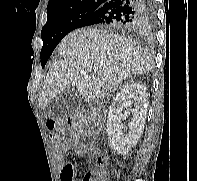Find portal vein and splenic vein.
I'll return each mask as SVG.
<instances>
[{"instance_id": "18ae733b", "label": "portal vein and splenic vein", "mask_w": 197, "mask_h": 181, "mask_svg": "<svg viewBox=\"0 0 197 181\" xmlns=\"http://www.w3.org/2000/svg\"><path fill=\"white\" fill-rule=\"evenodd\" d=\"M81 74L85 75L86 73L84 71H82Z\"/></svg>"}]
</instances>
